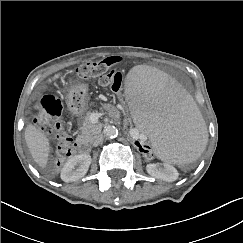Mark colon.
<instances>
[{
  "label": "colon",
  "instance_id": "colon-1",
  "mask_svg": "<svg viewBox=\"0 0 243 243\" xmlns=\"http://www.w3.org/2000/svg\"><path fill=\"white\" fill-rule=\"evenodd\" d=\"M123 59L120 56H110L98 61L88 62L80 65L76 69V76L72 84L87 82L91 79H98L99 83L108 86L113 92L120 93L123 83V74L118 69ZM117 104L122 105L125 102L124 97L119 96L116 99ZM62 103L54 95L43 96L36 105L37 116L34 120L36 127L43 132L54 130L59 140L57 150V165H61L72 155L71 139L64 129L62 120ZM123 128L122 136L125 142L135 147L137 153L147 156L148 159L156 158V151L150 148L147 143H141L132 138L131 112L128 109L123 110Z\"/></svg>",
  "mask_w": 243,
  "mask_h": 243
}]
</instances>
